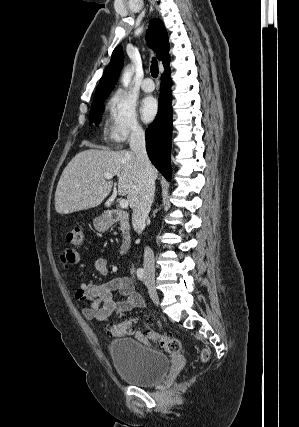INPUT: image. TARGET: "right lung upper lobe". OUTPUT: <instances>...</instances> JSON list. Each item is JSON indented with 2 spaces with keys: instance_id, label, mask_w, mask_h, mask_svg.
<instances>
[{
  "instance_id": "obj_1",
  "label": "right lung upper lobe",
  "mask_w": 299,
  "mask_h": 427,
  "mask_svg": "<svg viewBox=\"0 0 299 427\" xmlns=\"http://www.w3.org/2000/svg\"><path fill=\"white\" fill-rule=\"evenodd\" d=\"M146 40L148 44L155 50L159 60L163 61L165 71L169 70V41L167 31L163 22L155 18L149 24ZM124 62V54L122 47H116L112 53L111 61L105 69L103 76L100 79L99 85L95 92V98L108 96L116 84L122 65Z\"/></svg>"
}]
</instances>
